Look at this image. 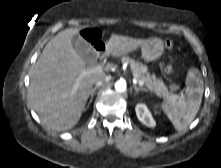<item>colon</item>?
Masks as SVG:
<instances>
[{
	"instance_id": "5ec220e1",
	"label": "colon",
	"mask_w": 221,
	"mask_h": 168,
	"mask_svg": "<svg viewBox=\"0 0 221 168\" xmlns=\"http://www.w3.org/2000/svg\"><path fill=\"white\" fill-rule=\"evenodd\" d=\"M95 38V33L94 32H90L88 34V39L93 40ZM165 47L168 50H171L173 47V43L170 40H166L165 41ZM172 67L170 65L166 66V72H171ZM169 90L173 93V94H178L179 90H180V83L178 81H173L169 84Z\"/></svg>"
}]
</instances>
